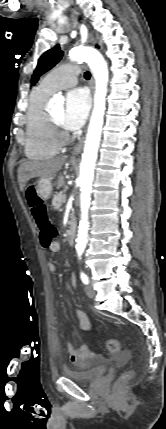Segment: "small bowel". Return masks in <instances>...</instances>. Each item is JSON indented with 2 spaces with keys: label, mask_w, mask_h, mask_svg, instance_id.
Masks as SVG:
<instances>
[{
  "label": "small bowel",
  "mask_w": 166,
  "mask_h": 429,
  "mask_svg": "<svg viewBox=\"0 0 166 429\" xmlns=\"http://www.w3.org/2000/svg\"><path fill=\"white\" fill-rule=\"evenodd\" d=\"M48 248L52 252H58L60 250V243L56 240H54ZM48 268L50 272H56L57 267L54 262H50L48 264ZM70 281L72 286H76V277L75 275H72L70 277ZM76 316L79 321V326L82 330L88 331L91 329V323L86 316V314L79 308L75 309ZM67 351L69 354L70 361L83 368L90 367L94 364H97L102 361V357L97 355L90 347L88 346H81L79 348H75L71 343L67 344Z\"/></svg>",
  "instance_id": "small-bowel-1"
}]
</instances>
